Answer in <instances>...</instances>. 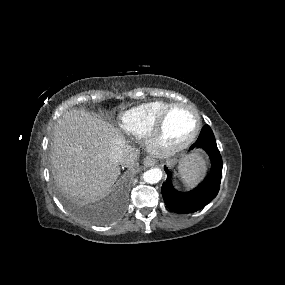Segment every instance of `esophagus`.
Wrapping results in <instances>:
<instances>
[{"label": "esophagus", "mask_w": 285, "mask_h": 285, "mask_svg": "<svg viewBox=\"0 0 285 285\" xmlns=\"http://www.w3.org/2000/svg\"><path fill=\"white\" fill-rule=\"evenodd\" d=\"M143 164L146 166V167H152L154 166L155 164V161L152 157L150 156H146L143 160Z\"/></svg>", "instance_id": "esophagus-1"}]
</instances>
